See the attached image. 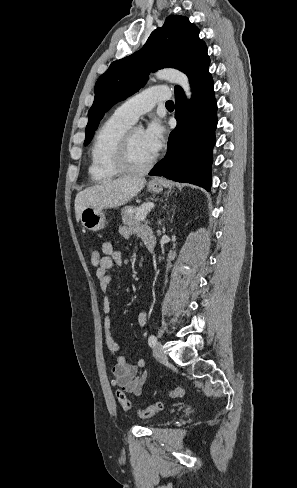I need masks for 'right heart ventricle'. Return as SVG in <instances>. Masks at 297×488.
Listing matches in <instances>:
<instances>
[{
	"label": "right heart ventricle",
	"instance_id": "right-heart-ventricle-1",
	"mask_svg": "<svg viewBox=\"0 0 297 488\" xmlns=\"http://www.w3.org/2000/svg\"><path fill=\"white\" fill-rule=\"evenodd\" d=\"M131 123L115 113L100 127L91 145L89 174L95 182H107L122 173L115 166V154Z\"/></svg>",
	"mask_w": 297,
	"mask_h": 488
}]
</instances>
